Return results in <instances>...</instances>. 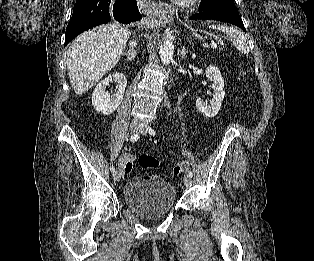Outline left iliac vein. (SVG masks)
Returning a JSON list of instances; mask_svg holds the SVG:
<instances>
[{"label": "left iliac vein", "instance_id": "1", "mask_svg": "<svg viewBox=\"0 0 314 261\" xmlns=\"http://www.w3.org/2000/svg\"><path fill=\"white\" fill-rule=\"evenodd\" d=\"M139 133L145 135L147 133V125L146 124H141ZM184 184L186 187H191L192 185V179L189 175H185L183 178Z\"/></svg>", "mask_w": 314, "mask_h": 261}]
</instances>
